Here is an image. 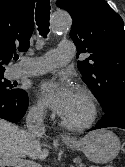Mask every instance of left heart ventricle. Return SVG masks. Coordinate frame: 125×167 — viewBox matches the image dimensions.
Instances as JSON below:
<instances>
[{"mask_svg": "<svg viewBox=\"0 0 125 167\" xmlns=\"http://www.w3.org/2000/svg\"><path fill=\"white\" fill-rule=\"evenodd\" d=\"M89 115L90 107L87 101L81 94L76 92L72 103L70 104L63 117L71 123L80 124L85 122L88 119Z\"/></svg>", "mask_w": 125, "mask_h": 167, "instance_id": "obj_1", "label": "left heart ventricle"}]
</instances>
